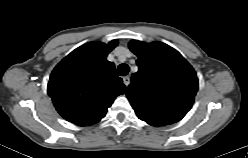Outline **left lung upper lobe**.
Returning a JSON list of instances; mask_svg holds the SVG:
<instances>
[{
	"label": "left lung upper lobe",
	"mask_w": 248,
	"mask_h": 158,
	"mask_svg": "<svg viewBox=\"0 0 248 158\" xmlns=\"http://www.w3.org/2000/svg\"><path fill=\"white\" fill-rule=\"evenodd\" d=\"M139 70L131 78L127 97L139 119L152 126L181 120L191 109L198 79L192 66L174 48L162 42L132 40Z\"/></svg>",
	"instance_id": "left-lung-upper-lobe-1"
}]
</instances>
